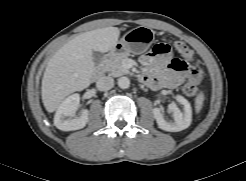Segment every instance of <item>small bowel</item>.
Returning a JSON list of instances; mask_svg holds the SVG:
<instances>
[{
    "mask_svg": "<svg viewBox=\"0 0 246 181\" xmlns=\"http://www.w3.org/2000/svg\"><path fill=\"white\" fill-rule=\"evenodd\" d=\"M144 66L142 79L151 88H176L189 77L187 61L172 57L169 49L163 53L154 50L141 57Z\"/></svg>",
    "mask_w": 246,
    "mask_h": 181,
    "instance_id": "c3829d8e",
    "label": "small bowel"
}]
</instances>
